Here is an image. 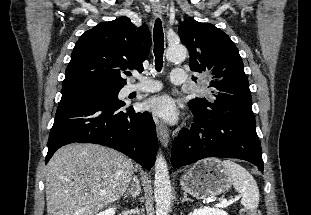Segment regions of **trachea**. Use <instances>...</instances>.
Masks as SVG:
<instances>
[{
    "instance_id": "1",
    "label": "trachea",
    "mask_w": 311,
    "mask_h": 215,
    "mask_svg": "<svg viewBox=\"0 0 311 215\" xmlns=\"http://www.w3.org/2000/svg\"><path fill=\"white\" fill-rule=\"evenodd\" d=\"M154 40V56H155V69L161 71L163 67V53H164V33L162 28V22L158 18L155 21L153 30Z\"/></svg>"
}]
</instances>
